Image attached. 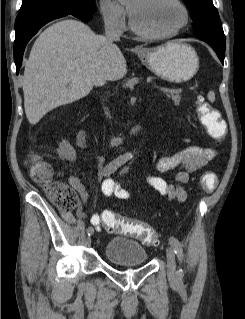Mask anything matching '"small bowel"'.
<instances>
[{"label":"small bowel","instance_id":"small-bowel-1","mask_svg":"<svg viewBox=\"0 0 245 319\" xmlns=\"http://www.w3.org/2000/svg\"><path fill=\"white\" fill-rule=\"evenodd\" d=\"M214 156L215 152L209 148L199 146L182 148L171 155L159 158L155 163L156 169L161 173L169 174L175 171L172 179L148 175L145 180L158 193L166 196L168 200L183 202L187 198V192L183 184L187 183L190 176L203 168ZM104 182L105 189H103V193L107 192L106 196L115 197L123 201H129L133 198V195L129 191L122 188L119 183L114 182L112 179H107ZM70 183L72 188L78 192L84 204L88 199L84 186L76 177H72ZM137 194L142 200L145 201L147 199L146 195L139 189L137 190ZM102 214L95 212L91 216V223L98 230H101ZM61 215L69 223H75L77 220L70 212H61ZM84 216V214H80L79 218Z\"/></svg>","mask_w":245,"mask_h":319}]
</instances>
